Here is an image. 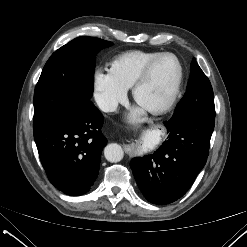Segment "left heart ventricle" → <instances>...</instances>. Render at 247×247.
Wrapping results in <instances>:
<instances>
[{"label": "left heart ventricle", "mask_w": 247, "mask_h": 247, "mask_svg": "<svg viewBox=\"0 0 247 247\" xmlns=\"http://www.w3.org/2000/svg\"><path fill=\"white\" fill-rule=\"evenodd\" d=\"M177 73L178 67L172 57L161 59L139 90L140 103L143 106H156L163 103L172 92Z\"/></svg>", "instance_id": "obj_1"}]
</instances>
